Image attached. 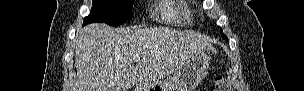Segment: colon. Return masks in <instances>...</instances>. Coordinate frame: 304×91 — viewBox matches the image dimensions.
Instances as JSON below:
<instances>
[{
	"mask_svg": "<svg viewBox=\"0 0 304 91\" xmlns=\"http://www.w3.org/2000/svg\"><path fill=\"white\" fill-rule=\"evenodd\" d=\"M211 90L214 91H231L232 87L226 78L222 76H216L214 79V85Z\"/></svg>",
	"mask_w": 304,
	"mask_h": 91,
	"instance_id": "1",
	"label": "colon"
}]
</instances>
